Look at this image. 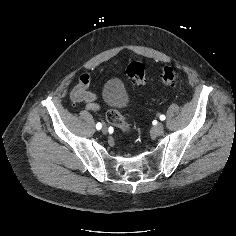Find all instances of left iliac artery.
Masks as SVG:
<instances>
[{"label": "left iliac artery", "mask_w": 236, "mask_h": 236, "mask_svg": "<svg viewBox=\"0 0 236 236\" xmlns=\"http://www.w3.org/2000/svg\"><path fill=\"white\" fill-rule=\"evenodd\" d=\"M165 119H166L165 115H161V116H160V120L163 121V120H165Z\"/></svg>", "instance_id": "obj_1"}]
</instances>
